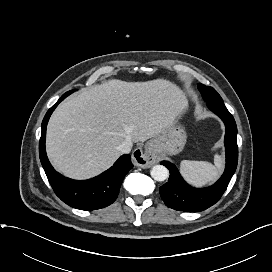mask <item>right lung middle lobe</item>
<instances>
[{"mask_svg": "<svg viewBox=\"0 0 272 272\" xmlns=\"http://www.w3.org/2000/svg\"><path fill=\"white\" fill-rule=\"evenodd\" d=\"M75 90H71V91H68V92H66L61 98H65V97H67L68 95H70L72 92H74Z\"/></svg>", "mask_w": 272, "mask_h": 272, "instance_id": "obj_1", "label": "right lung middle lobe"}]
</instances>
